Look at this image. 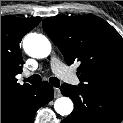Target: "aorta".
I'll return each mask as SVG.
<instances>
[{"mask_svg":"<svg viewBox=\"0 0 123 123\" xmlns=\"http://www.w3.org/2000/svg\"><path fill=\"white\" fill-rule=\"evenodd\" d=\"M23 48L29 56L38 59L46 58L51 53V43L48 38L37 33L25 36ZM73 107V102L68 97H60L54 103L55 111L62 116L70 115Z\"/></svg>","mask_w":123,"mask_h":123,"instance_id":"1","label":"aorta"}]
</instances>
